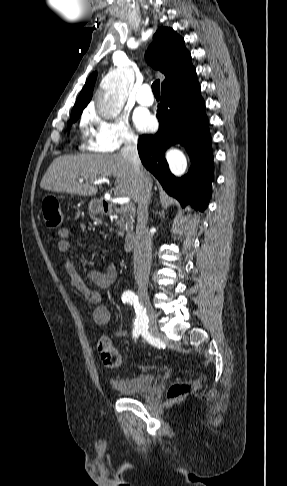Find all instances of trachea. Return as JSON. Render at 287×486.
I'll list each match as a JSON object with an SVG mask.
<instances>
[{
  "mask_svg": "<svg viewBox=\"0 0 287 486\" xmlns=\"http://www.w3.org/2000/svg\"><path fill=\"white\" fill-rule=\"evenodd\" d=\"M152 91L154 95H160V80H156L153 82Z\"/></svg>",
  "mask_w": 287,
  "mask_h": 486,
  "instance_id": "trachea-1",
  "label": "trachea"
}]
</instances>
